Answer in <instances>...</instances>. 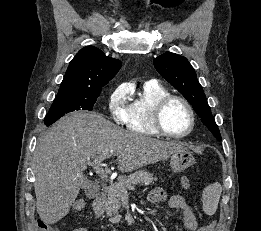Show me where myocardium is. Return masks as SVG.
Returning a JSON list of instances; mask_svg holds the SVG:
<instances>
[{"instance_id":"obj_1","label":"myocardium","mask_w":261,"mask_h":231,"mask_svg":"<svg viewBox=\"0 0 261 231\" xmlns=\"http://www.w3.org/2000/svg\"><path fill=\"white\" fill-rule=\"evenodd\" d=\"M173 100H178L180 101L187 109L188 113H189V117H190V125L189 128L180 134H175V133H171L169 132L163 123V113L165 108L167 107V105L172 102ZM195 122H196V117H195V113L193 110L192 105L182 96L179 95H174V94H168L167 96L163 97L162 99H160L155 108H154V112H153V124L154 127L156 128V130L165 136L171 137V138H184L186 136H188L194 129L195 127Z\"/></svg>"}]
</instances>
